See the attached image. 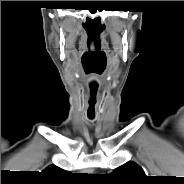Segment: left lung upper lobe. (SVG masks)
I'll return each instance as SVG.
<instances>
[{
    "mask_svg": "<svg viewBox=\"0 0 184 184\" xmlns=\"http://www.w3.org/2000/svg\"><path fill=\"white\" fill-rule=\"evenodd\" d=\"M112 176L120 184H139L145 179V173L141 167L133 162H127L116 168Z\"/></svg>",
    "mask_w": 184,
    "mask_h": 184,
    "instance_id": "obj_1",
    "label": "left lung upper lobe"
}]
</instances>
